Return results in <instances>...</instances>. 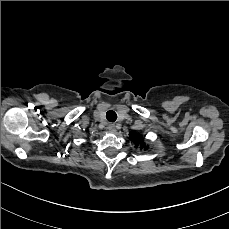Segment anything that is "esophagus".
Instances as JSON below:
<instances>
[{"mask_svg":"<svg viewBox=\"0 0 229 229\" xmlns=\"http://www.w3.org/2000/svg\"><path fill=\"white\" fill-rule=\"evenodd\" d=\"M108 130L112 133H115L116 132V127L114 124H109L108 125Z\"/></svg>","mask_w":229,"mask_h":229,"instance_id":"34e87169","label":"esophagus"}]
</instances>
